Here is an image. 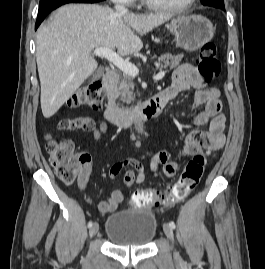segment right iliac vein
I'll use <instances>...</instances> for the list:
<instances>
[{"label": "right iliac vein", "mask_w": 265, "mask_h": 269, "mask_svg": "<svg viewBox=\"0 0 265 269\" xmlns=\"http://www.w3.org/2000/svg\"><path fill=\"white\" fill-rule=\"evenodd\" d=\"M99 226L97 223H94L89 229L90 237H93L98 232Z\"/></svg>", "instance_id": "right-iliac-vein-1"}]
</instances>
